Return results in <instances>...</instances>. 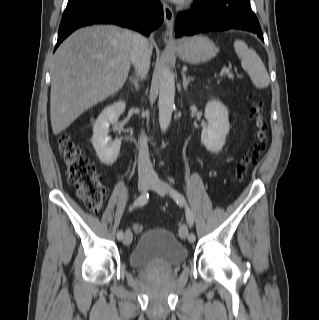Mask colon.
<instances>
[{"instance_id": "1", "label": "colon", "mask_w": 319, "mask_h": 320, "mask_svg": "<svg viewBox=\"0 0 319 320\" xmlns=\"http://www.w3.org/2000/svg\"><path fill=\"white\" fill-rule=\"evenodd\" d=\"M252 120L256 129L255 149L245 157L236 168V175L242 178L253 159L264 149L266 142L267 125L263 108L255 102L252 109ZM60 154L66 165L68 179L76 187L78 197L93 212H100L105 203V188L99 180L93 162L72 142L68 134H63L58 139ZM135 233H141L143 226L134 224Z\"/></svg>"}]
</instances>
